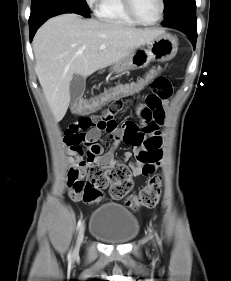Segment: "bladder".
I'll return each mask as SVG.
<instances>
[{"instance_id": "bladder-1", "label": "bladder", "mask_w": 231, "mask_h": 281, "mask_svg": "<svg viewBox=\"0 0 231 281\" xmlns=\"http://www.w3.org/2000/svg\"><path fill=\"white\" fill-rule=\"evenodd\" d=\"M89 232L106 244H127L137 236L139 223L125 207L110 202L101 205L93 212Z\"/></svg>"}]
</instances>
